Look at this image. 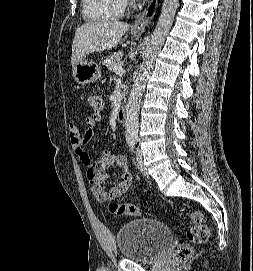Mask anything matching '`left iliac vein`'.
I'll use <instances>...</instances> for the list:
<instances>
[{
	"instance_id": "obj_1",
	"label": "left iliac vein",
	"mask_w": 253,
	"mask_h": 271,
	"mask_svg": "<svg viewBox=\"0 0 253 271\" xmlns=\"http://www.w3.org/2000/svg\"><path fill=\"white\" fill-rule=\"evenodd\" d=\"M136 166L144 176L148 177V172L143 164L142 150L140 148L136 149Z\"/></svg>"
}]
</instances>
